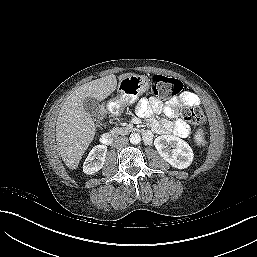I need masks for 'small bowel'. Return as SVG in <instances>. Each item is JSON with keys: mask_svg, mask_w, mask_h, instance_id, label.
<instances>
[{"mask_svg": "<svg viewBox=\"0 0 257 257\" xmlns=\"http://www.w3.org/2000/svg\"><path fill=\"white\" fill-rule=\"evenodd\" d=\"M199 104V98L194 93L186 91L179 97L171 99L165 105L155 98L141 99L136 105V111L140 116L146 118H150L154 112H162L167 118H174L181 105L196 107ZM151 126L152 130L159 134L173 132L179 137H186L190 133L189 125L181 119H176L174 122L170 120H151ZM148 132L151 135V132Z\"/></svg>", "mask_w": 257, "mask_h": 257, "instance_id": "c3829d8e", "label": "small bowel"}]
</instances>
